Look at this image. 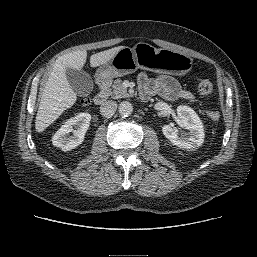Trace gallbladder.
Returning a JSON list of instances; mask_svg holds the SVG:
<instances>
[{
  "mask_svg": "<svg viewBox=\"0 0 257 257\" xmlns=\"http://www.w3.org/2000/svg\"><path fill=\"white\" fill-rule=\"evenodd\" d=\"M66 77L72 90L78 96H86L91 93L93 81L86 71L68 68L66 70Z\"/></svg>",
  "mask_w": 257,
  "mask_h": 257,
  "instance_id": "obj_1",
  "label": "gallbladder"
}]
</instances>
